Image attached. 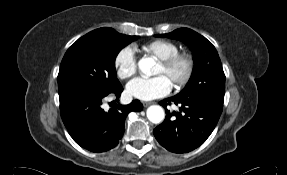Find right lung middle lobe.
<instances>
[{"instance_id": "dd1d6c3e", "label": "right lung middle lobe", "mask_w": 287, "mask_h": 175, "mask_svg": "<svg viewBox=\"0 0 287 175\" xmlns=\"http://www.w3.org/2000/svg\"><path fill=\"white\" fill-rule=\"evenodd\" d=\"M137 38L104 27L78 39L67 50L60 65L59 97L73 91L109 94L121 88L115 59L122 48Z\"/></svg>"}]
</instances>
